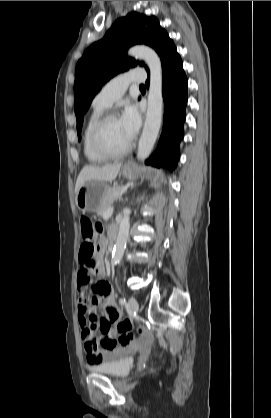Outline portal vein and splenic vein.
Instances as JSON below:
<instances>
[{
  "label": "portal vein and splenic vein",
  "instance_id": "1",
  "mask_svg": "<svg viewBox=\"0 0 271 418\" xmlns=\"http://www.w3.org/2000/svg\"><path fill=\"white\" fill-rule=\"evenodd\" d=\"M113 210H114V208H113V207H110V208L106 211V213L104 214L103 218H104V219H108V218H110V217H111V215L113 214Z\"/></svg>",
  "mask_w": 271,
  "mask_h": 418
}]
</instances>
